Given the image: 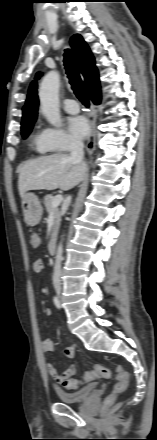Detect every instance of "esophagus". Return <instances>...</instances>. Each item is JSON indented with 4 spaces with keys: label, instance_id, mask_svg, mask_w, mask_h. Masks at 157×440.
Returning <instances> with one entry per match:
<instances>
[{
    "label": "esophagus",
    "instance_id": "esophagus-1",
    "mask_svg": "<svg viewBox=\"0 0 157 440\" xmlns=\"http://www.w3.org/2000/svg\"><path fill=\"white\" fill-rule=\"evenodd\" d=\"M89 123L91 127V134L86 144V151L88 154H91L93 153L96 145V113L93 106L89 112Z\"/></svg>",
    "mask_w": 157,
    "mask_h": 440
}]
</instances>
